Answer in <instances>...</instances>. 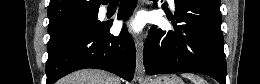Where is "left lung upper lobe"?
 <instances>
[{
	"label": "left lung upper lobe",
	"mask_w": 260,
	"mask_h": 84,
	"mask_svg": "<svg viewBox=\"0 0 260 84\" xmlns=\"http://www.w3.org/2000/svg\"><path fill=\"white\" fill-rule=\"evenodd\" d=\"M214 1L220 2V0H214Z\"/></svg>",
	"instance_id": "5c2ea615"
}]
</instances>
